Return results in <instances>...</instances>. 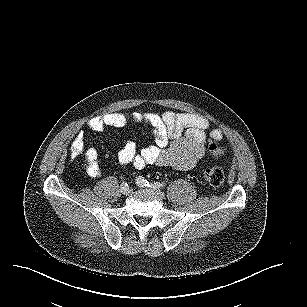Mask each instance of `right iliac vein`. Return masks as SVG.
<instances>
[{
    "mask_svg": "<svg viewBox=\"0 0 307 307\" xmlns=\"http://www.w3.org/2000/svg\"><path fill=\"white\" fill-rule=\"evenodd\" d=\"M121 193H122L123 195H129V194L131 193V189H130L128 186H126V187H121Z\"/></svg>",
    "mask_w": 307,
    "mask_h": 307,
    "instance_id": "obj_1",
    "label": "right iliac vein"
}]
</instances>
